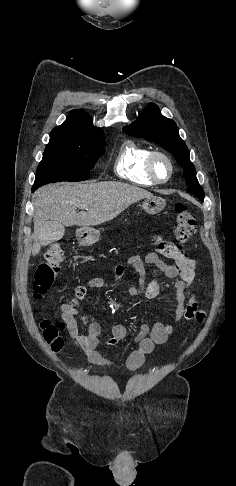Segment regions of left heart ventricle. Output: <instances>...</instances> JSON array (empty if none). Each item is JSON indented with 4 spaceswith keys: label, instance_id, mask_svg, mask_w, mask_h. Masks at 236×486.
I'll return each instance as SVG.
<instances>
[{
    "label": "left heart ventricle",
    "instance_id": "1",
    "mask_svg": "<svg viewBox=\"0 0 236 486\" xmlns=\"http://www.w3.org/2000/svg\"><path fill=\"white\" fill-rule=\"evenodd\" d=\"M154 170H155L156 175L159 178L164 179L168 176L169 166L164 159L157 158L155 160V163H154Z\"/></svg>",
    "mask_w": 236,
    "mask_h": 486
}]
</instances>
